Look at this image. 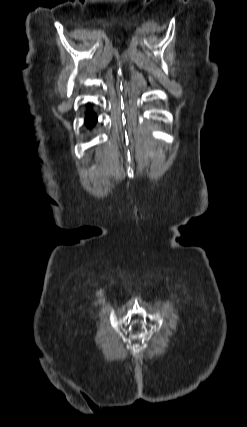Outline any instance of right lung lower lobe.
<instances>
[{
  "instance_id": "right-lung-lower-lobe-1",
  "label": "right lung lower lobe",
  "mask_w": 247,
  "mask_h": 427,
  "mask_svg": "<svg viewBox=\"0 0 247 427\" xmlns=\"http://www.w3.org/2000/svg\"><path fill=\"white\" fill-rule=\"evenodd\" d=\"M97 121L96 115L91 111V109H88L86 118H85V125L88 128H91Z\"/></svg>"
}]
</instances>
